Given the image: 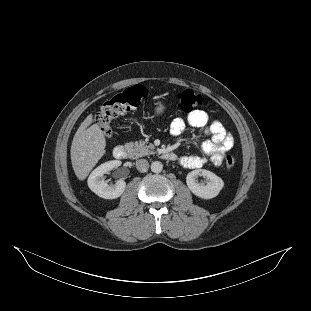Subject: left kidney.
I'll use <instances>...</instances> for the list:
<instances>
[{
  "label": "left kidney",
  "instance_id": "5707ae66",
  "mask_svg": "<svg viewBox=\"0 0 311 311\" xmlns=\"http://www.w3.org/2000/svg\"><path fill=\"white\" fill-rule=\"evenodd\" d=\"M199 177H204L205 181L198 182ZM186 182L194 194L203 198L216 196L223 187L222 179L205 169H196L189 172L186 176Z\"/></svg>",
  "mask_w": 311,
  "mask_h": 311
}]
</instances>
